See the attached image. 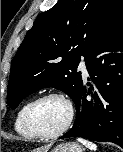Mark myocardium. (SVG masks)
<instances>
[{"label": "myocardium", "mask_w": 123, "mask_h": 152, "mask_svg": "<svg viewBox=\"0 0 123 152\" xmlns=\"http://www.w3.org/2000/svg\"><path fill=\"white\" fill-rule=\"evenodd\" d=\"M52 98L59 99L66 104V106L68 108V118H67V121L64 124V126L61 129H59L58 131L53 132V133H44L35 126V124L33 122V115H34V111H35L36 107L41 102H43L47 99H52ZM74 117H75L74 105H73L71 99L67 95H65L61 92H48V93H45V94L37 97L30 103L29 107L27 108L26 114H25V123H26L27 128L36 137L42 138V139H54V138L62 136L64 133H66L69 130V128L71 127V125L74 121Z\"/></svg>", "instance_id": "myocardium-1"}]
</instances>
